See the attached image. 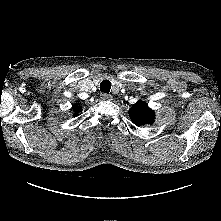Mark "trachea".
I'll return each mask as SVG.
<instances>
[{"label": "trachea", "instance_id": "obj_1", "mask_svg": "<svg viewBox=\"0 0 221 221\" xmlns=\"http://www.w3.org/2000/svg\"><path fill=\"white\" fill-rule=\"evenodd\" d=\"M110 89H111V82L109 80H103L100 83L101 92L108 94L110 92Z\"/></svg>", "mask_w": 221, "mask_h": 221}]
</instances>
